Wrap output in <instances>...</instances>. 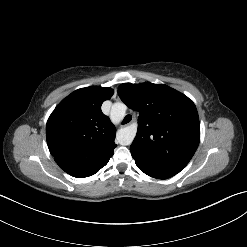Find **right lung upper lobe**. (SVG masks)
<instances>
[{
	"instance_id": "cb5924a9",
	"label": "right lung upper lobe",
	"mask_w": 247,
	"mask_h": 247,
	"mask_svg": "<svg viewBox=\"0 0 247 247\" xmlns=\"http://www.w3.org/2000/svg\"><path fill=\"white\" fill-rule=\"evenodd\" d=\"M111 88L91 86L64 98L46 125L47 144L56 163L71 176L84 178L104 167L117 146L116 128L101 111Z\"/></svg>"
}]
</instances>
